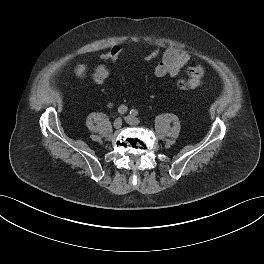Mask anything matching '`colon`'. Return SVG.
Wrapping results in <instances>:
<instances>
[{
    "label": "colon",
    "instance_id": "1",
    "mask_svg": "<svg viewBox=\"0 0 264 264\" xmlns=\"http://www.w3.org/2000/svg\"><path fill=\"white\" fill-rule=\"evenodd\" d=\"M122 50H123L122 45L120 44L113 45L110 49H108L102 54L101 58L104 61L116 62ZM159 56H160V50L158 48H153L146 53L144 59L145 61H153L157 59ZM177 87L182 91H190L194 89L193 84L189 80H184V79H180L177 81Z\"/></svg>",
    "mask_w": 264,
    "mask_h": 264
}]
</instances>
